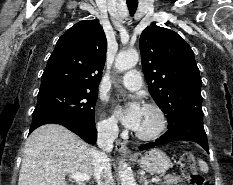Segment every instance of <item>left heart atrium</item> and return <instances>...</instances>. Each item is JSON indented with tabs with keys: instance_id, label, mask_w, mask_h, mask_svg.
<instances>
[{
	"instance_id": "1",
	"label": "left heart atrium",
	"mask_w": 233,
	"mask_h": 185,
	"mask_svg": "<svg viewBox=\"0 0 233 185\" xmlns=\"http://www.w3.org/2000/svg\"><path fill=\"white\" fill-rule=\"evenodd\" d=\"M115 113L124 126L136 131L142 117L143 107L133 102L127 106L117 107Z\"/></svg>"
}]
</instances>
